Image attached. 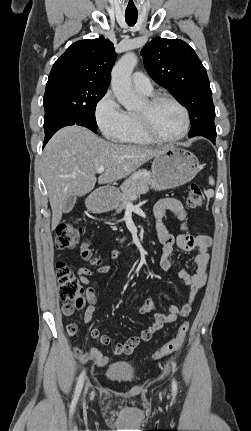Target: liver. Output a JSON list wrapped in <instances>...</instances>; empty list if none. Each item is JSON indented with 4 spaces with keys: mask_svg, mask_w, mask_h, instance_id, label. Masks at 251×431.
<instances>
[{
    "mask_svg": "<svg viewBox=\"0 0 251 431\" xmlns=\"http://www.w3.org/2000/svg\"><path fill=\"white\" fill-rule=\"evenodd\" d=\"M166 149L115 144L77 125L60 129L45 146L41 163L52 209V230L61 221L69 195L88 194L96 181L107 184L123 179ZM101 166L105 171L97 180V168Z\"/></svg>",
    "mask_w": 251,
    "mask_h": 431,
    "instance_id": "6515ba94",
    "label": "liver"
}]
</instances>
